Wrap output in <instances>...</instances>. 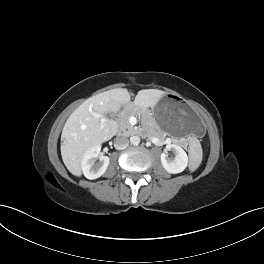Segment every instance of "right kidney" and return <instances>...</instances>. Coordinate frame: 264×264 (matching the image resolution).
Segmentation results:
<instances>
[{"mask_svg": "<svg viewBox=\"0 0 264 264\" xmlns=\"http://www.w3.org/2000/svg\"><path fill=\"white\" fill-rule=\"evenodd\" d=\"M99 152L100 146H94L87 150L82 158L81 168L87 179L93 180L101 177L109 165V157L99 155Z\"/></svg>", "mask_w": 264, "mask_h": 264, "instance_id": "right-kidney-1", "label": "right kidney"}]
</instances>
